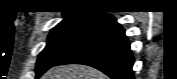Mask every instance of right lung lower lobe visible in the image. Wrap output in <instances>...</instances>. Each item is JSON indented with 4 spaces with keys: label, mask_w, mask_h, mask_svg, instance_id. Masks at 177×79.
Instances as JSON below:
<instances>
[{
    "label": "right lung lower lobe",
    "mask_w": 177,
    "mask_h": 79,
    "mask_svg": "<svg viewBox=\"0 0 177 79\" xmlns=\"http://www.w3.org/2000/svg\"><path fill=\"white\" fill-rule=\"evenodd\" d=\"M133 63L124 29L112 16L106 15L80 44L54 66L85 64L104 72L112 79H134Z\"/></svg>",
    "instance_id": "1"
}]
</instances>
